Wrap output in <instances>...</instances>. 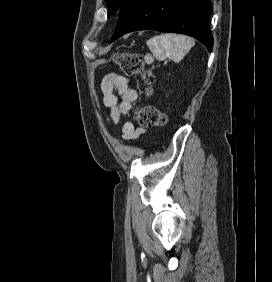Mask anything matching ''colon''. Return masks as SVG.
Wrapping results in <instances>:
<instances>
[{
  "mask_svg": "<svg viewBox=\"0 0 272 282\" xmlns=\"http://www.w3.org/2000/svg\"><path fill=\"white\" fill-rule=\"evenodd\" d=\"M121 70L127 75H140L147 84L146 94L151 93L150 84L152 75L146 69L143 58L135 53H123L114 57ZM136 121L141 126H164L167 123V116L159 109L141 104L135 110Z\"/></svg>",
  "mask_w": 272,
  "mask_h": 282,
  "instance_id": "1",
  "label": "colon"
}]
</instances>
